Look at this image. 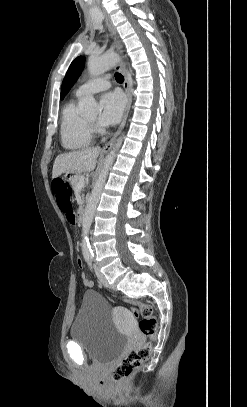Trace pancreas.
I'll list each match as a JSON object with an SVG mask.
<instances>
[{"instance_id":"obj_1","label":"pancreas","mask_w":247,"mask_h":407,"mask_svg":"<svg viewBox=\"0 0 247 407\" xmlns=\"http://www.w3.org/2000/svg\"><path fill=\"white\" fill-rule=\"evenodd\" d=\"M82 177H83L82 175H76V176H74V178H73L72 181H71L72 187H73L74 189L77 188V186H78V184H79V181H80V179H81Z\"/></svg>"}]
</instances>
